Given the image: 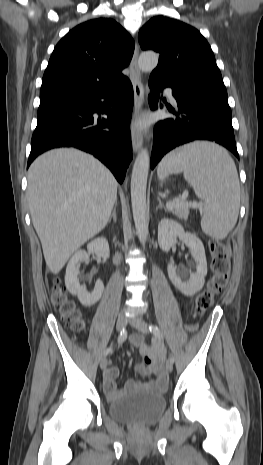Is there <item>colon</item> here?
<instances>
[{"label": "colon", "instance_id": "1", "mask_svg": "<svg viewBox=\"0 0 263 465\" xmlns=\"http://www.w3.org/2000/svg\"><path fill=\"white\" fill-rule=\"evenodd\" d=\"M209 251L213 275L206 288L195 300L194 313L196 316H202L213 305L215 297L224 289L229 279L230 259L224 243L219 240H210ZM52 301L70 328L75 332H81L84 328V322L74 303L67 298L58 280H55L53 284Z\"/></svg>", "mask_w": 263, "mask_h": 465}]
</instances>
